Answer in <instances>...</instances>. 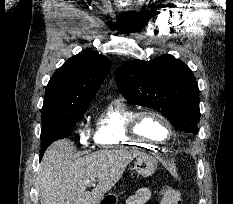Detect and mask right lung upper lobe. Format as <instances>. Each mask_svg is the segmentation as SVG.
Here are the masks:
<instances>
[{"instance_id":"right-lung-upper-lobe-1","label":"right lung upper lobe","mask_w":233,"mask_h":204,"mask_svg":"<svg viewBox=\"0 0 233 204\" xmlns=\"http://www.w3.org/2000/svg\"><path fill=\"white\" fill-rule=\"evenodd\" d=\"M110 66L107 57L90 49L69 58L48 82L42 119L87 110Z\"/></svg>"}]
</instances>
